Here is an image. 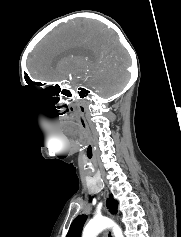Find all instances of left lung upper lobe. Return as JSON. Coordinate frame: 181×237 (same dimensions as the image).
Listing matches in <instances>:
<instances>
[{
  "mask_svg": "<svg viewBox=\"0 0 181 237\" xmlns=\"http://www.w3.org/2000/svg\"><path fill=\"white\" fill-rule=\"evenodd\" d=\"M107 207L112 214L117 213V201L112 196L107 200ZM87 219L86 215L78 216L70 226L66 237H80L83 225Z\"/></svg>",
  "mask_w": 181,
  "mask_h": 237,
  "instance_id": "obj_1",
  "label": "left lung upper lobe"
}]
</instances>
